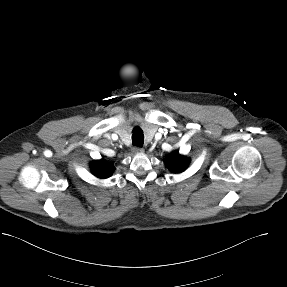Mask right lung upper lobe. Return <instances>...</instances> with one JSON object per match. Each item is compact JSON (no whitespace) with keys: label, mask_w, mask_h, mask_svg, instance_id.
Wrapping results in <instances>:
<instances>
[{"label":"right lung upper lobe","mask_w":287,"mask_h":287,"mask_svg":"<svg viewBox=\"0 0 287 287\" xmlns=\"http://www.w3.org/2000/svg\"><path fill=\"white\" fill-rule=\"evenodd\" d=\"M90 168L96 177L103 179L111 176L115 170L114 165L104 159L92 162Z\"/></svg>","instance_id":"obj_1"}]
</instances>
